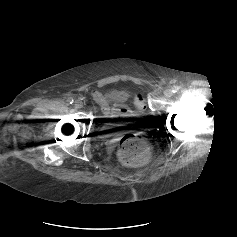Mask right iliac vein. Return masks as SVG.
<instances>
[{"mask_svg":"<svg viewBox=\"0 0 237 237\" xmlns=\"http://www.w3.org/2000/svg\"><path fill=\"white\" fill-rule=\"evenodd\" d=\"M74 107L77 109H81L83 107V102L81 100H76L74 102Z\"/></svg>","mask_w":237,"mask_h":237,"instance_id":"63e3f726","label":"right iliac vein"}]
</instances>
